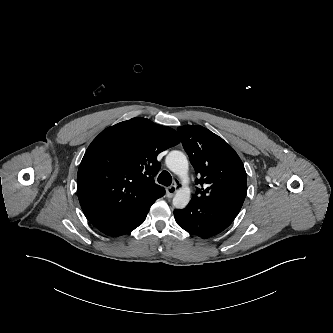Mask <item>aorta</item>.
Returning <instances> with one entry per match:
<instances>
[{
  "mask_svg": "<svg viewBox=\"0 0 333 333\" xmlns=\"http://www.w3.org/2000/svg\"><path fill=\"white\" fill-rule=\"evenodd\" d=\"M167 167L176 175L185 178L188 174V160L181 151H171L166 157ZM190 201V189L180 188L173 198V205L177 209L185 208Z\"/></svg>",
  "mask_w": 333,
  "mask_h": 333,
  "instance_id": "obj_1",
  "label": "aorta"
}]
</instances>
